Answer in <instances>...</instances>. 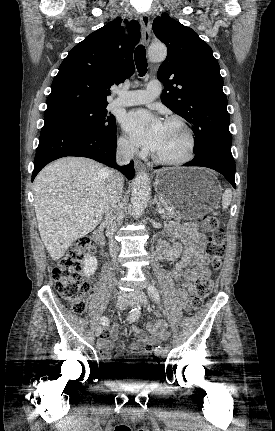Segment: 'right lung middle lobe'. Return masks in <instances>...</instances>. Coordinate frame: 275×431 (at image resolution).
<instances>
[{
	"label": "right lung middle lobe",
	"instance_id": "obj_1",
	"mask_svg": "<svg viewBox=\"0 0 275 431\" xmlns=\"http://www.w3.org/2000/svg\"><path fill=\"white\" fill-rule=\"evenodd\" d=\"M106 106H81L45 112L44 125L70 124L112 133L115 130V117L107 113Z\"/></svg>",
	"mask_w": 275,
	"mask_h": 431
}]
</instances>
